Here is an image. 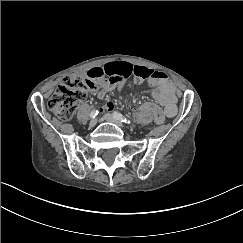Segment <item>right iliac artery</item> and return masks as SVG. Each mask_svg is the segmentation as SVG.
<instances>
[{
	"label": "right iliac artery",
	"instance_id": "obj_1",
	"mask_svg": "<svg viewBox=\"0 0 243 243\" xmlns=\"http://www.w3.org/2000/svg\"><path fill=\"white\" fill-rule=\"evenodd\" d=\"M99 111L98 110H93L91 113H90V117L91 118H95L97 115H98Z\"/></svg>",
	"mask_w": 243,
	"mask_h": 243
}]
</instances>
